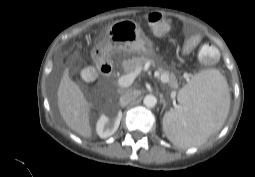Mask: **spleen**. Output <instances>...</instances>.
Wrapping results in <instances>:
<instances>
[{
	"label": "spleen",
	"instance_id": "3e777b00",
	"mask_svg": "<svg viewBox=\"0 0 255 177\" xmlns=\"http://www.w3.org/2000/svg\"><path fill=\"white\" fill-rule=\"evenodd\" d=\"M178 101L180 109L163 117L166 136L180 147L199 145L219 130L228 116L227 81L216 69L201 71L180 90Z\"/></svg>",
	"mask_w": 255,
	"mask_h": 177
}]
</instances>
